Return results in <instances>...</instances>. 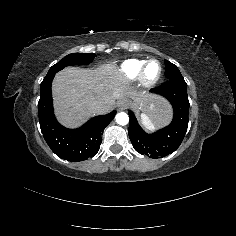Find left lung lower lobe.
I'll return each instance as SVG.
<instances>
[{
    "mask_svg": "<svg viewBox=\"0 0 236 236\" xmlns=\"http://www.w3.org/2000/svg\"><path fill=\"white\" fill-rule=\"evenodd\" d=\"M167 98L173 106L174 117L165 128L148 134L139 126L132 111H129V138L135 150L150 158H159L173 153L181 144L188 127L189 100L184 79H169L151 90Z\"/></svg>",
    "mask_w": 236,
    "mask_h": 236,
    "instance_id": "obj_1",
    "label": "left lung lower lobe"
}]
</instances>
